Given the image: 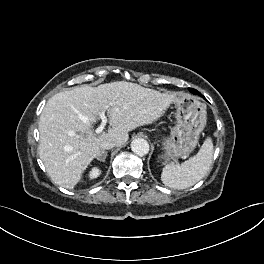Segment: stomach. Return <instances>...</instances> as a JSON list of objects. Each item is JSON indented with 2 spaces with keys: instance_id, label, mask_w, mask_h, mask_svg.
I'll return each instance as SVG.
<instances>
[{
  "instance_id": "obj_1",
  "label": "stomach",
  "mask_w": 264,
  "mask_h": 264,
  "mask_svg": "<svg viewBox=\"0 0 264 264\" xmlns=\"http://www.w3.org/2000/svg\"><path fill=\"white\" fill-rule=\"evenodd\" d=\"M176 110V124L169 137H162L165 161H176L189 155L196 147L199 135L206 125V108L197 97L189 94H176L173 101Z\"/></svg>"
}]
</instances>
